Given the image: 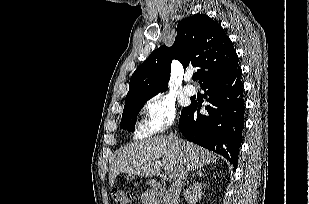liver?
I'll use <instances>...</instances> for the list:
<instances>
[{
	"instance_id": "obj_1",
	"label": "liver",
	"mask_w": 309,
	"mask_h": 204,
	"mask_svg": "<svg viewBox=\"0 0 309 204\" xmlns=\"http://www.w3.org/2000/svg\"><path fill=\"white\" fill-rule=\"evenodd\" d=\"M217 159L214 153L188 141L175 143L166 136L152 137L131 143L119 153L111 165L109 183L113 186L121 173L152 177L161 171V166L174 178L182 163L195 171Z\"/></svg>"
}]
</instances>
